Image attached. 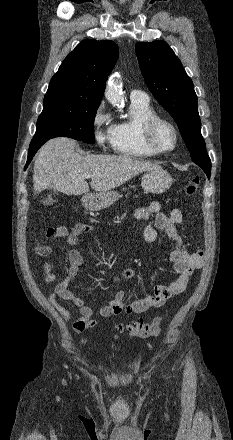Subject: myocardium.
Wrapping results in <instances>:
<instances>
[{
	"label": "myocardium",
	"mask_w": 233,
	"mask_h": 440,
	"mask_svg": "<svg viewBox=\"0 0 233 440\" xmlns=\"http://www.w3.org/2000/svg\"><path fill=\"white\" fill-rule=\"evenodd\" d=\"M161 124L167 125L173 132L174 144L171 148H168V149L161 148L155 142V132H156V129L158 128V126ZM141 133H142V139H143L144 144L151 151H153L156 154L169 153V152L175 150L176 147L178 146V142H179L178 130H177L176 126L174 125V123L165 117H162L159 115H154V116L148 118L142 124Z\"/></svg>",
	"instance_id": "1"
}]
</instances>
